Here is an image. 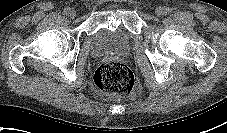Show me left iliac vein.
<instances>
[{
  "label": "left iliac vein",
  "mask_w": 227,
  "mask_h": 133,
  "mask_svg": "<svg viewBox=\"0 0 227 133\" xmlns=\"http://www.w3.org/2000/svg\"><path fill=\"white\" fill-rule=\"evenodd\" d=\"M155 13L157 16H161V15L165 14V9L163 7H157L155 9Z\"/></svg>",
  "instance_id": "left-iliac-vein-1"
}]
</instances>
